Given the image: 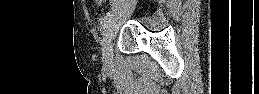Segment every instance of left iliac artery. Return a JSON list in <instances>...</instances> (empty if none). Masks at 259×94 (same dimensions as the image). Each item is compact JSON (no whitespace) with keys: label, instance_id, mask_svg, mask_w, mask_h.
<instances>
[{"label":"left iliac artery","instance_id":"obj_1","mask_svg":"<svg viewBox=\"0 0 259 94\" xmlns=\"http://www.w3.org/2000/svg\"><path fill=\"white\" fill-rule=\"evenodd\" d=\"M113 15V10L108 11L105 16L101 20V29H102V34H104V30L107 27V22Z\"/></svg>","mask_w":259,"mask_h":94}]
</instances>
